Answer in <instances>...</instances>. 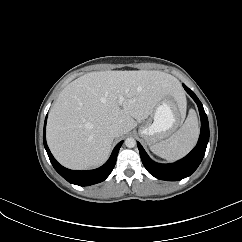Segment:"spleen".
<instances>
[{
    "label": "spleen",
    "mask_w": 242,
    "mask_h": 242,
    "mask_svg": "<svg viewBox=\"0 0 242 242\" xmlns=\"http://www.w3.org/2000/svg\"><path fill=\"white\" fill-rule=\"evenodd\" d=\"M186 110V106H184ZM199 124L196 113L191 111L184 124L168 139L156 143L150 150L157 156L174 161L185 156L196 144Z\"/></svg>",
    "instance_id": "spleen-1"
}]
</instances>
